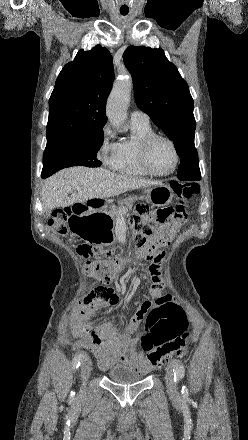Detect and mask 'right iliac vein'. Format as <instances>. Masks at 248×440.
I'll use <instances>...</instances> for the list:
<instances>
[{
  "instance_id": "obj_1",
  "label": "right iliac vein",
  "mask_w": 248,
  "mask_h": 440,
  "mask_svg": "<svg viewBox=\"0 0 248 440\" xmlns=\"http://www.w3.org/2000/svg\"><path fill=\"white\" fill-rule=\"evenodd\" d=\"M92 370L91 362L89 359H85L81 364V376L83 381V388L85 387L86 381L88 380Z\"/></svg>"
}]
</instances>
